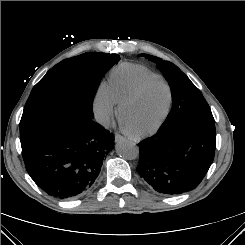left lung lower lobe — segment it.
Here are the masks:
<instances>
[{
    "mask_svg": "<svg viewBox=\"0 0 245 245\" xmlns=\"http://www.w3.org/2000/svg\"><path fill=\"white\" fill-rule=\"evenodd\" d=\"M216 145L215 122L183 116L139 143L137 171L157 192L177 195L201 182Z\"/></svg>",
    "mask_w": 245,
    "mask_h": 245,
    "instance_id": "left-lung-lower-lobe-1",
    "label": "left lung lower lobe"
}]
</instances>
